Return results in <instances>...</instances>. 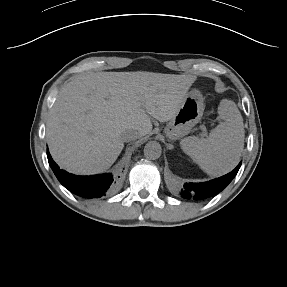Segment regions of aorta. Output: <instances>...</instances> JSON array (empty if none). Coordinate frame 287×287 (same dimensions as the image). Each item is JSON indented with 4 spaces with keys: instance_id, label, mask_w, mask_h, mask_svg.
Returning a JSON list of instances; mask_svg holds the SVG:
<instances>
[{
    "instance_id": "obj_1",
    "label": "aorta",
    "mask_w": 287,
    "mask_h": 287,
    "mask_svg": "<svg viewBox=\"0 0 287 287\" xmlns=\"http://www.w3.org/2000/svg\"><path fill=\"white\" fill-rule=\"evenodd\" d=\"M161 154V145L156 141H150L144 147V156L147 159L156 160L161 156Z\"/></svg>"
}]
</instances>
